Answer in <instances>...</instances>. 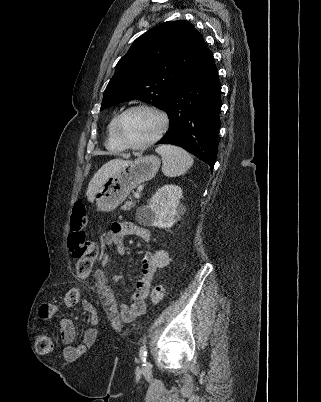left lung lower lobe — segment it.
Masks as SVG:
<instances>
[{
	"mask_svg": "<svg viewBox=\"0 0 321 402\" xmlns=\"http://www.w3.org/2000/svg\"><path fill=\"white\" fill-rule=\"evenodd\" d=\"M221 84L212 52L203 55L176 85L164 110L169 117V130L157 144L180 146L213 169L218 150Z\"/></svg>",
	"mask_w": 321,
	"mask_h": 402,
	"instance_id": "obj_1",
	"label": "left lung lower lobe"
}]
</instances>
